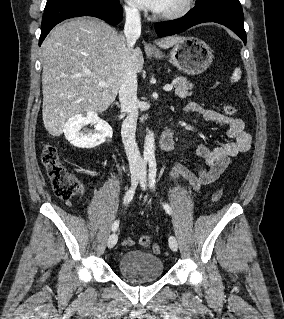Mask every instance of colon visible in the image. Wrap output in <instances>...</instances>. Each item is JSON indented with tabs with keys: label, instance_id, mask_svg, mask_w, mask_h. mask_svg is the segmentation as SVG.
Segmentation results:
<instances>
[{
	"label": "colon",
	"instance_id": "5ec220e1",
	"mask_svg": "<svg viewBox=\"0 0 284 319\" xmlns=\"http://www.w3.org/2000/svg\"><path fill=\"white\" fill-rule=\"evenodd\" d=\"M224 112L227 115L236 113V108L232 105H225ZM41 160L50 177L55 194L63 199L69 200L75 197L81 190V182L77 176L67 171L60 159L57 148L50 144L44 143L41 149ZM223 195V189H218L212 196V202H218ZM139 243L143 247H150L155 254H159L161 249L156 243H153L148 236H141ZM133 240L127 238L123 241L124 246H131Z\"/></svg>",
	"mask_w": 284,
	"mask_h": 319
}]
</instances>
